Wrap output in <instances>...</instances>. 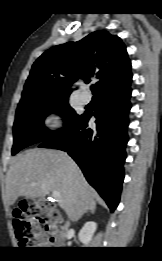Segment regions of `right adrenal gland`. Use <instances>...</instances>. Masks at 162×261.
<instances>
[{
	"label": "right adrenal gland",
	"instance_id": "right-adrenal-gland-1",
	"mask_svg": "<svg viewBox=\"0 0 162 261\" xmlns=\"http://www.w3.org/2000/svg\"><path fill=\"white\" fill-rule=\"evenodd\" d=\"M90 213H91V214H94V213H95V210H94V209L90 210Z\"/></svg>",
	"mask_w": 162,
	"mask_h": 261
}]
</instances>
